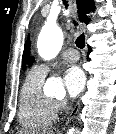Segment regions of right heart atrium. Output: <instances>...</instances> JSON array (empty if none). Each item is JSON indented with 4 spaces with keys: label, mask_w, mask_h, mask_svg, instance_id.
Instances as JSON below:
<instances>
[{
    "label": "right heart atrium",
    "mask_w": 116,
    "mask_h": 134,
    "mask_svg": "<svg viewBox=\"0 0 116 134\" xmlns=\"http://www.w3.org/2000/svg\"><path fill=\"white\" fill-rule=\"evenodd\" d=\"M54 108L56 112L63 111L66 108V101L62 99L54 100Z\"/></svg>",
    "instance_id": "right-heart-atrium-1"
}]
</instances>
